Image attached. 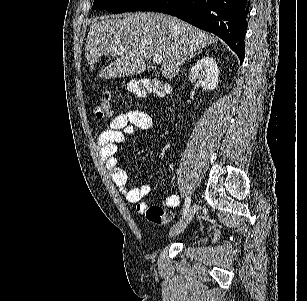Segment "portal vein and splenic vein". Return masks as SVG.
<instances>
[{"instance_id":"18ae733b","label":"portal vein and splenic vein","mask_w":307,"mask_h":301,"mask_svg":"<svg viewBox=\"0 0 307 301\" xmlns=\"http://www.w3.org/2000/svg\"><path fill=\"white\" fill-rule=\"evenodd\" d=\"M121 50H123V52H124L125 48H121ZM153 62H155V64H160V62H162L161 54H154Z\"/></svg>"}]
</instances>
